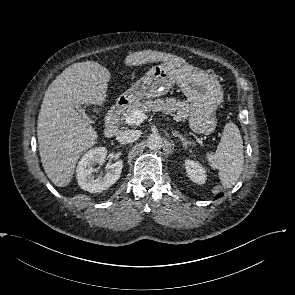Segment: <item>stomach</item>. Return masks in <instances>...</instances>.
I'll return each mask as SVG.
<instances>
[{
    "label": "stomach",
    "mask_w": 295,
    "mask_h": 295,
    "mask_svg": "<svg viewBox=\"0 0 295 295\" xmlns=\"http://www.w3.org/2000/svg\"><path fill=\"white\" fill-rule=\"evenodd\" d=\"M177 84L190 102L189 126L208 135L217 125L216 110L223 100V89L212 74L189 64L165 62L153 66L118 98L120 104L134 105L142 99L166 94Z\"/></svg>",
    "instance_id": "stomach-1"
}]
</instances>
